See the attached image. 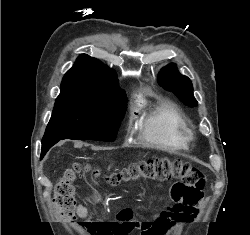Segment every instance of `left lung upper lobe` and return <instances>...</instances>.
<instances>
[{
  "label": "left lung upper lobe",
  "mask_w": 250,
  "mask_h": 235,
  "mask_svg": "<svg viewBox=\"0 0 250 235\" xmlns=\"http://www.w3.org/2000/svg\"><path fill=\"white\" fill-rule=\"evenodd\" d=\"M158 84L164 89L174 92L184 104L191 107L197 105L190 79L179 74L175 64H169L161 70Z\"/></svg>",
  "instance_id": "1"
}]
</instances>
